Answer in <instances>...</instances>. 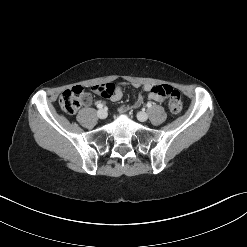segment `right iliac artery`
Wrapping results in <instances>:
<instances>
[{
  "mask_svg": "<svg viewBox=\"0 0 247 247\" xmlns=\"http://www.w3.org/2000/svg\"><path fill=\"white\" fill-rule=\"evenodd\" d=\"M97 108H99V109L103 108V104H101V103L97 104Z\"/></svg>",
  "mask_w": 247,
  "mask_h": 247,
  "instance_id": "1",
  "label": "right iliac artery"
}]
</instances>
